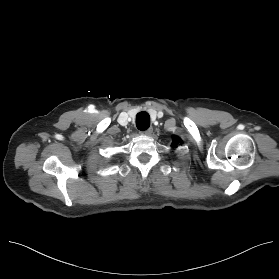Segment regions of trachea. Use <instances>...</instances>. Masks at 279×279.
Masks as SVG:
<instances>
[{
	"label": "trachea",
	"mask_w": 279,
	"mask_h": 279,
	"mask_svg": "<svg viewBox=\"0 0 279 279\" xmlns=\"http://www.w3.org/2000/svg\"><path fill=\"white\" fill-rule=\"evenodd\" d=\"M136 126L139 130H146L150 126V116L147 112H139L136 116Z\"/></svg>",
	"instance_id": "trachea-1"
}]
</instances>
